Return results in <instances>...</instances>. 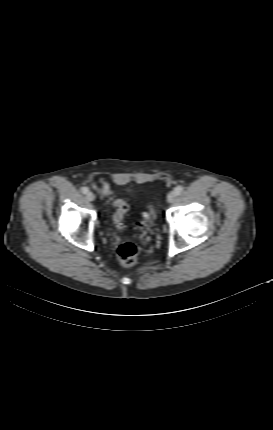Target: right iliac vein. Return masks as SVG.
I'll use <instances>...</instances> for the list:
<instances>
[{"label":"right iliac vein","instance_id":"right-iliac-vein-1","mask_svg":"<svg viewBox=\"0 0 273 430\" xmlns=\"http://www.w3.org/2000/svg\"><path fill=\"white\" fill-rule=\"evenodd\" d=\"M86 199L88 200V201H94V199H95V195L92 193V192H87L86 193Z\"/></svg>","mask_w":273,"mask_h":430}]
</instances>
